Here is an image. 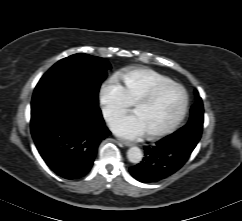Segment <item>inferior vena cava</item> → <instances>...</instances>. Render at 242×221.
<instances>
[{"label": "inferior vena cava", "mask_w": 242, "mask_h": 221, "mask_svg": "<svg viewBox=\"0 0 242 221\" xmlns=\"http://www.w3.org/2000/svg\"><path fill=\"white\" fill-rule=\"evenodd\" d=\"M103 115H104L105 119H108L112 115V111L109 108H104Z\"/></svg>", "instance_id": "1"}]
</instances>
